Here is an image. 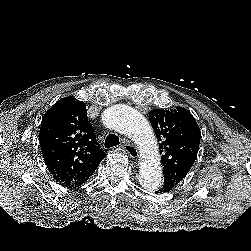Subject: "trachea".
<instances>
[{"label": "trachea", "instance_id": "3493384b", "mask_svg": "<svg viewBox=\"0 0 251 251\" xmlns=\"http://www.w3.org/2000/svg\"><path fill=\"white\" fill-rule=\"evenodd\" d=\"M119 145V137L115 134H109L105 140V148H111Z\"/></svg>", "mask_w": 251, "mask_h": 251}]
</instances>
